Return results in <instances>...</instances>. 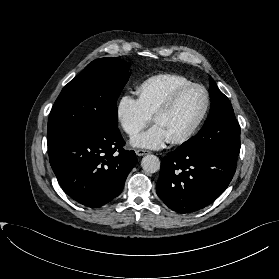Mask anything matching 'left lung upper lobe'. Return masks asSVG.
<instances>
[{"mask_svg": "<svg viewBox=\"0 0 279 279\" xmlns=\"http://www.w3.org/2000/svg\"><path fill=\"white\" fill-rule=\"evenodd\" d=\"M212 103L210 113L202 129L178 147L185 152L216 149L238 155L240 151V126L235 118L228 98L219 90L211 78Z\"/></svg>", "mask_w": 279, "mask_h": 279, "instance_id": "left-lung-upper-lobe-1", "label": "left lung upper lobe"}]
</instances>
